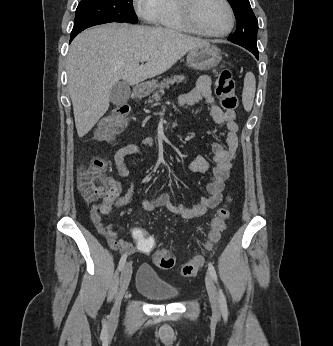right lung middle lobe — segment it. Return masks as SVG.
<instances>
[{
    "mask_svg": "<svg viewBox=\"0 0 333 346\" xmlns=\"http://www.w3.org/2000/svg\"><path fill=\"white\" fill-rule=\"evenodd\" d=\"M109 22L137 23L133 0H81L76 9L71 35Z\"/></svg>",
    "mask_w": 333,
    "mask_h": 346,
    "instance_id": "dd1d6c3e",
    "label": "right lung middle lobe"
}]
</instances>
